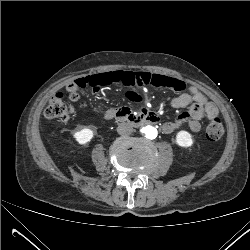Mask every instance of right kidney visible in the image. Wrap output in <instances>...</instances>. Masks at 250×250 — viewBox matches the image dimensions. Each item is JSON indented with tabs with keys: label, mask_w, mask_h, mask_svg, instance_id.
I'll use <instances>...</instances> for the list:
<instances>
[{
	"label": "right kidney",
	"mask_w": 250,
	"mask_h": 250,
	"mask_svg": "<svg viewBox=\"0 0 250 250\" xmlns=\"http://www.w3.org/2000/svg\"><path fill=\"white\" fill-rule=\"evenodd\" d=\"M73 137L79 144H85L89 142L93 137V131L88 128L81 129L73 134Z\"/></svg>",
	"instance_id": "right-kidney-1"
}]
</instances>
